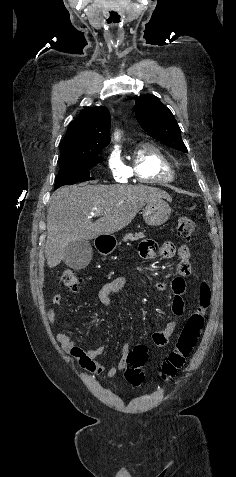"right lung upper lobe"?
<instances>
[{"label":"right lung upper lobe","mask_w":236,"mask_h":477,"mask_svg":"<svg viewBox=\"0 0 236 477\" xmlns=\"http://www.w3.org/2000/svg\"><path fill=\"white\" fill-rule=\"evenodd\" d=\"M109 127L110 114L105 107L82 110L69 124L66 135L59 145L58 162L105 148L110 142Z\"/></svg>","instance_id":"cb5924a9"}]
</instances>
